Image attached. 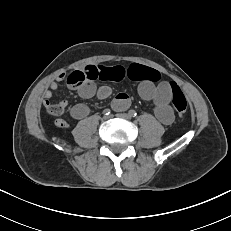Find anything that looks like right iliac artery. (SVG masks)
Instances as JSON below:
<instances>
[{
	"label": "right iliac artery",
	"mask_w": 231,
	"mask_h": 231,
	"mask_svg": "<svg viewBox=\"0 0 231 231\" xmlns=\"http://www.w3.org/2000/svg\"><path fill=\"white\" fill-rule=\"evenodd\" d=\"M110 113H111V111L108 108L103 111L104 115H109Z\"/></svg>",
	"instance_id": "obj_1"
}]
</instances>
